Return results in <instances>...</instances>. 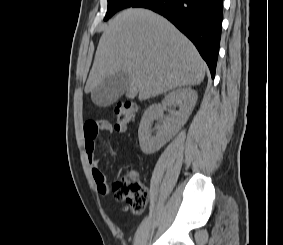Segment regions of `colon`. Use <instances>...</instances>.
<instances>
[{
    "mask_svg": "<svg viewBox=\"0 0 283 245\" xmlns=\"http://www.w3.org/2000/svg\"><path fill=\"white\" fill-rule=\"evenodd\" d=\"M137 106L132 101H123L114 108L115 129L124 132L135 122ZM112 190L117 200L125 201L135 212H142L148 201V191L134 174L121 177L113 183Z\"/></svg>",
    "mask_w": 283,
    "mask_h": 245,
    "instance_id": "1",
    "label": "colon"
}]
</instances>
